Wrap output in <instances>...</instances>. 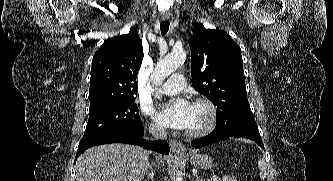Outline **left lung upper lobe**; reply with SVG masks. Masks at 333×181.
I'll return each instance as SVG.
<instances>
[{"label":"left lung upper lobe","mask_w":333,"mask_h":181,"mask_svg":"<svg viewBox=\"0 0 333 181\" xmlns=\"http://www.w3.org/2000/svg\"><path fill=\"white\" fill-rule=\"evenodd\" d=\"M189 46L193 88L218 107L217 118L235 122V132L260 136L247 99L239 45L224 31L198 25Z\"/></svg>","instance_id":"1"}]
</instances>
